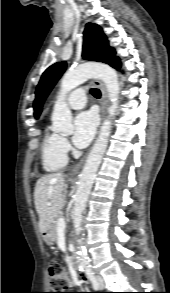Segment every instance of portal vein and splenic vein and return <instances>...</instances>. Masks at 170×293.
Returning <instances> with one entry per match:
<instances>
[{
	"mask_svg": "<svg viewBox=\"0 0 170 293\" xmlns=\"http://www.w3.org/2000/svg\"><path fill=\"white\" fill-rule=\"evenodd\" d=\"M48 205H51V203H48ZM66 227L65 219L60 218L57 222V230H64Z\"/></svg>",
	"mask_w": 170,
	"mask_h": 293,
	"instance_id": "18ae733b",
	"label": "portal vein and splenic vein"
}]
</instances>
